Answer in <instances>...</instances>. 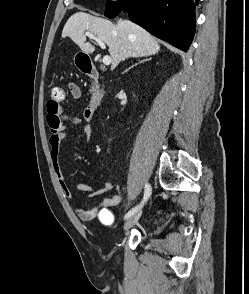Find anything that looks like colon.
Returning a JSON list of instances; mask_svg holds the SVG:
<instances>
[{"label": "colon", "mask_w": 249, "mask_h": 294, "mask_svg": "<svg viewBox=\"0 0 249 294\" xmlns=\"http://www.w3.org/2000/svg\"><path fill=\"white\" fill-rule=\"evenodd\" d=\"M65 98L64 90L59 86H54L51 90L49 103L53 106H57Z\"/></svg>", "instance_id": "colon-1"}]
</instances>
